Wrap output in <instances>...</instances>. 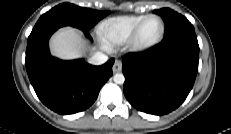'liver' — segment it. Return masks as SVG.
<instances>
[{
	"label": "liver",
	"instance_id": "6515ba94",
	"mask_svg": "<svg viewBox=\"0 0 231 134\" xmlns=\"http://www.w3.org/2000/svg\"><path fill=\"white\" fill-rule=\"evenodd\" d=\"M50 49L54 56L71 60L80 58L84 54L86 43L76 29L64 27L51 38Z\"/></svg>",
	"mask_w": 231,
	"mask_h": 134
}]
</instances>
